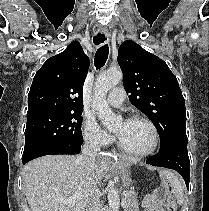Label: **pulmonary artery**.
Instances as JSON below:
<instances>
[{
	"mask_svg": "<svg viewBox=\"0 0 209 211\" xmlns=\"http://www.w3.org/2000/svg\"><path fill=\"white\" fill-rule=\"evenodd\" d=\"M125 99V91L121 87L114 88L107 96V102L114 107H120Z\"/></svg>",
	"mask_w": 209,
	"mask_h": 211,
	"instance_id": "pulmonary-artery-1",
	"label": "pulmonary artery"
}]
</instances>
